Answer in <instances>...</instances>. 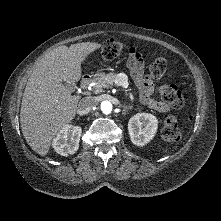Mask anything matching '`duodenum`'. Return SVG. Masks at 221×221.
Here are the masks:
<instances>
[{
	"label": "duodenum",
	"instance_id": "obj_1",
	"mask_svg": "<svg viewBox=\"0 0 221 221\" xmlns=\"http://www.w3.org/2000/svg\"><path fill=\"white\" fill-rule=\"evenodd\" d=\"M97 75L96 74H86L83 76L81 82H80V87L82 90H87L90 84L96 79Z\"/></svg>",
	"mask_w": 221,
	"mask_h": 221
}]
</instances>
